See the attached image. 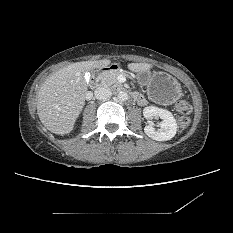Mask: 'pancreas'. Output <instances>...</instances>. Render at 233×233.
Segmentation results:
<instances>
[{
    "label": "pancreas",
    "mask_w": 233,
    "mask_h": 233,
    "mask_svg": "<svg viewBox=\"0 0 233 233\" xmlns=\"http://www.w3.org/2000/svg\"><path fill=\"white\" fill-rule=\"evenodd\" d=\"M122 74L120 71H108L105 72L101 76V80L103 84H106L108 86H113V87H121V83L117 80V77Z\"/></svg>",
    "instance_id": "cf45deb5"
}]
</instances>
